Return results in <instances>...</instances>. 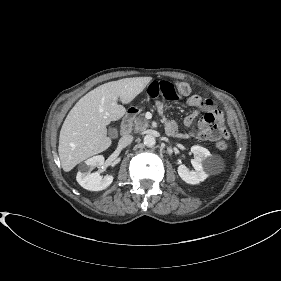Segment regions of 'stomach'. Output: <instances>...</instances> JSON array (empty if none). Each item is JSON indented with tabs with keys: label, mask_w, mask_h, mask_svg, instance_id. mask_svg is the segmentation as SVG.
<instances>
[{
	"label": "stomach",
	"mask_w": 281,
	"mask_h": 281,
	"mask_svg": "<svg viewBox=\"0 0 281 281\" xmlns=\"http://www.w3.org/2000/svg\"><path fill=\"white\" fill-rule=\"evenodd\" d=\"M140 111H141L140 108H136V110H135L136 113H138V112H140Z\"/></svg>",
	"instance_id": "stomach-1"
}]
</instances>
